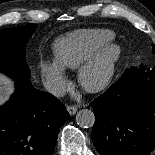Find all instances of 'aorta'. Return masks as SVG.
Segmentation results:
<instances>
[{
  "mask_svg": "<svg viewBox=\"0 0 155 155\" xmlns=\"http://www.w3.org/2000/svg\"><path fill=\"white\" fill-rule=\"evenodd\" d=\"M76 123L82 128H91L95 123L93 111L89 109L79 110L76 114Z\"/></svg>",
  "mask_w": 155,
  "mask_h": 155,
  "instance_id": "aorta-1",
  "label": "aorta"
}]
</instances>
